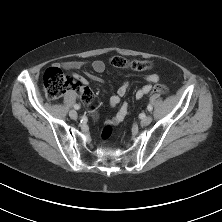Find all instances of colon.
<instances>
[{
  "label": "colon",
  "mask_w": 222,
  "mask_h": 222,
  "mask_svg": "<svg viewBox=\"0 0 222 222\" xmlns=\"http://www.w3.org/2000/svg\"><path fill=\"white\" fill-rule=\"evenodd\" d=\"M110 64L116 68H130L134 71H145L151 68V63L145 60H131L123 56L115 55L109 60ZM75 88V81L72 77L64 74L58 67H49L43 74V89L46 96L50 99L61 97L67 91ZM153 92L161 94L167 93V87L162 84H155L152 88ZM81 99L89 100L90 92L87 89L80 91ZM112 126L106 125L101 137L108 140L112 135Z\"/></svg>",
  "instance_id": "obj_1"
}]
</instances>
